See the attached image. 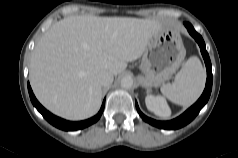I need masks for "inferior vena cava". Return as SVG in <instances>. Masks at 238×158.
Here are the masks:
<instances>
[{"label":"inferior vena cava","mask_w":238,"mask_h":158,"mask_svg":"<svg viewBox=\"0 0 238 158\" xmlns=\"http://www.w3.org/2000/svg\"><path fill=\"white\" fill-rule=\"evenodd\" d=\"M113 74L109 71L102 70L97 74V80L101 86L107 87L113 82Z\"/></svg>","instance_id":"inferior-vena-cava-1"}]
</instances>
